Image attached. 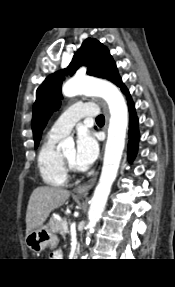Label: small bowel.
<instances>
[{
  "label": "small bowel",
  "instance_id": "1",
  "mask_svg": "<svg viewBox=\"0 0 175 287\" xmlns=\"http://www.w3.org/2000/svg\"><path fill=\"white\" fill-rule=\"evenodd\" d=\"M54 256H55V257H61V253H60L59 251H55V252H54Z\"/></svg>",
  "mask_w": 175,
  "mask_h": 287
}]
</instances>
